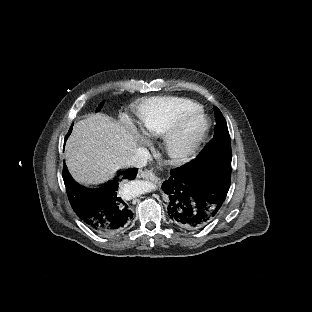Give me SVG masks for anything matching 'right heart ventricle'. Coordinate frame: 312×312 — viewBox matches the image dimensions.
Listing matches in <instances>:
<instances>
[{
  "label": "right heart ventricle",
  "instance_id": "e07e8e85",
  "mask_svg": "<svg viewBox=\"0 0 312 312\" xmlns=\"http://www.w3.org/2000/svg\"><path fill=\"white\" fill-rule=\"evenodd\" d=\"M199 102L194 97H167L152 95L134 110L135 124L140 129H148L158 134L167 133L188 116L196 113Z\"/></svg>",
  "mask_w": 312,
  "mask_h": 312
}]
</instances>
